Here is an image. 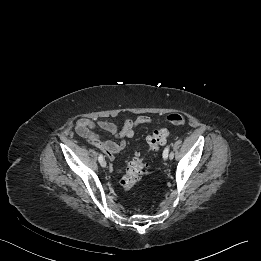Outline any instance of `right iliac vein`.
Segmentation results:
<instances>
[{
  "label": "right iliac vein",
  "instance_id": "1",
  "mask_svg": "<svg viewBox=\"0 0 261 261\" xmlns=\"http://www.w3.org/2000/svg\"><path fill=\"white\" fill-rule=\"evenodd\" d=\"M100 165L105 168L106 165H107V164H106V161H105V160H101V161H100Z\"/></svg>",
  "mask_w": 261,
  "mask_h": 261
}]
</instances>
